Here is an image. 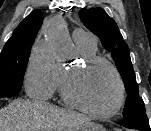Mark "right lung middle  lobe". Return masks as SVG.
<instances>
[{
  "instance_id": "1",
  "label": "right lung middle lobe",
  "mask_w": 151,
  "mask_h": 131,
  "mask_svg": "<svg viewBox=\"0 0 151 131\" xmlns=\"http://www.w3.org/2000/svg\"><path fill=\"white\" fill-rule=\"evenodd\" d=\"M32 45L4 48L0 55V98L19 93Z\"/></svg>"
}]
</instances>
